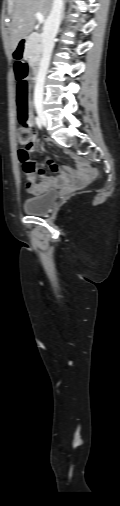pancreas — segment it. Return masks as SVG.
Instances as JSON below:
<instances>
[{
	"label": "pancreas",
	"mask_w": 120,
	"mask_h": 506,
	"mask_svg": "<svg viewBox=\"0 0 120 506\" xmlns=\"http://www.w3.org/2000/svg\"><path fill=\"white\" fill-rule=\"evenodd\" d=\"M43 51L42 37L37 33H32L28 38L25 47L24 57L31 63H35L40 60Z\"/></svg>",
	"instance_id": "1"
}]
</instances>
